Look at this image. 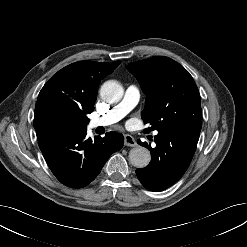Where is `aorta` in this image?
<instances>
[{"label": "aorta", "mask_w": 247, "mask_h": 247, "mask_svg": "<svg viewBox=\"0 0 247 247\" xmlns=\"http://www.w3.org/2000/svg\"><path fill=\"white\" fill-rule=\"evenodd\" d=\"M123 93V87L116 81H107L100 88L101 98L110 104L118 103L122 99ZM150 160V152L145 147L137 146L129 152V161L136 168L146 167Z\"/></svg>", "instance_id": "762f6f07"}]
</instances>
